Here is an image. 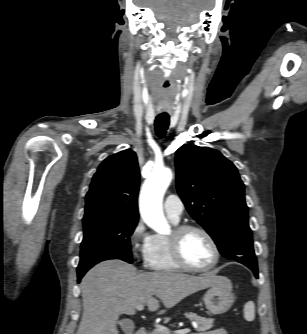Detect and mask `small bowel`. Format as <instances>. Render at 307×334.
<instances>
[{"instance_id": "c3829d8e", "label": "small bowel", "mask_w": 307, "mask_h": 334, "mask_svg": "<svg viewBox=\"0 0 307 334\" xmlns=\"http://www.w3.org/2000/svg\"><path fill=\"white\" fill-rule=\"evenodd\" d=\"M201 334H227V332L224 328H217V329H214V330L203 332Z\"/></svg>"}]
</instances>
